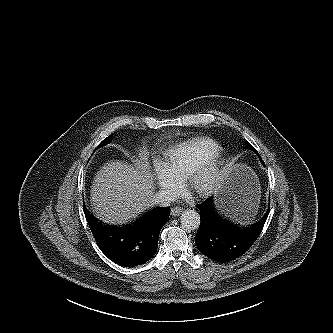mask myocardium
<instances>
[{
  "instance_id": "1",
  "label": "myocardium",
  "mask_w": 333,
  "mask_h": 333,
  "mask_svg": "<svg viewBox=\"0 0 333 333\" xmlns=\"http://www.w3.org/2000/svg\"><path fill=\"white\" fill-rule=\"evenodd\" d=\"M224 178L225 171L217 156L197 166L186 177V184L196 195L205 197L214 193Z\"/></svg>"
}]
</instances>
